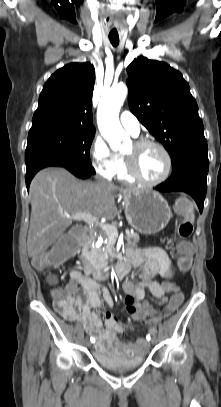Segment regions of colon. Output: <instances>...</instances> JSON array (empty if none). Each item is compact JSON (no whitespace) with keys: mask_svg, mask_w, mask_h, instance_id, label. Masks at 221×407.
Masks as SVG:
<instances>
[{"mask_svg":"<svg viewBox=\"0 0 221 407\" xmlns=\"http://www.w3.org/2000/svg\"><path fill=\"white\" fill-rule=\"evenodd\" d=\"M176 212L181 216L182 221L178 226L177 234L182 237H188L193 231L194 210L191 201L186 197H179L175 204ZM85 227L82 224L73 225L72 230H66L65 234H60L56 246H53L52 252H43L42 256L36 255L34 260L35 271L41 272L44 267L60 268L62 261H71V255H78V246L81 244V239H85ZM195 243L191 239H180L178 245V266L180 271L187 272L192 264L193 251ZM167 285H174L178 276V269L173 265L167 268ZM54 297V308L62 316L69 313L75 303L78 302L79 296L73 290L55 288L52 291ZM185 292L179 289L177 292H172L168 305L162 307L159 311L157 305H136L134 309L129 311V316L134 318L136 322H150L154 316H165L170 313H178L181 304L185 303Z\"/></svg>","mask_w":221,"mask_h":407,"instance_id":"1","label":"colon"}]
</instances>
